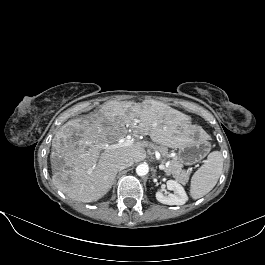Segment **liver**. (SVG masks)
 <instances>
[{
	"mask_svg": "<svg viewBox=\"0 0 265 265\" xmlns=\"http://www.w3.org/2000/svg\"><path fill=\"white\" fill-rule=\"evenodd\" d=\"M187 123L185 114L160 102L140 106L108 101L96 114L69 120L56 133L50 157L53 183L75 201H97L110 190L118 162H140L150 153L145 148L154 147L147 141L117 149L107 146L125 138L131 130L134 134L149 135L154 143L180 148L191 134ZM57 159L62 161L60 168Z\"/></svg>",
	"mask_w": 265,
	"mask_h": 265,
	"instance_id": "1",
	"label": "liver"
}]
</instances>
